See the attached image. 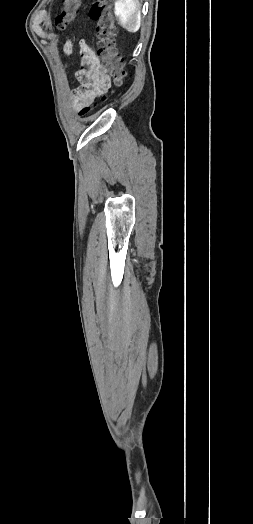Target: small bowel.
<instances>
[{
  "label": "small bowel",
  "mask_w": 253,
  "mask_h": 524,
  "mask_svg": "<svg viewBox=\"0 0 253 524\" xmlns=\"http://www.w3.org/2000/svg\"><path fill=\"white\" fill-rule=\"evenodd\" d=\"M62 51H72V44H62ZM82 62L76 73L79 86L76 89V99L81 105H88L95 97L103 95L110 86V80L95 51L85 42H81Z\"/></svg>",
  "instance_id": "obj_1"
}]
</instances>
